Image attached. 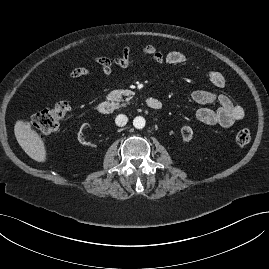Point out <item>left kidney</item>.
Instances as JSON below:
<instances>
[{
    "label": "left kidney",
    "instance_id": "obj_1",
    "mask_svg": "<svg viewBox=\"0 0 269 269\" xmlns=\"http://www.w3.org/2000/svg\"><path fill=\"white\" fill-rule=\"evenodd\" d=\"M181 133L183 135L184 141L189 142L192 139L193 131L189 126H183L181 128Z\"/></svg>",
    "mask_w": 269,
    "mask_h": 269
}]
</instances>
